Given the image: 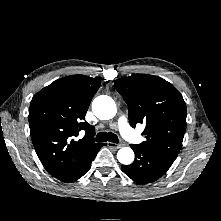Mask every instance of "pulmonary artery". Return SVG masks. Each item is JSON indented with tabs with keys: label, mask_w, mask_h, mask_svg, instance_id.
Masks as SVG:
<instances>
[{
	"label": "pulmonary artery",
	"mask_w": 221,
	"mask_h": 221,
	"mask_svg": "<svg viewBox=\"0 0 221 221\" xmlns=\"http://www.w3.org/2000/svg\"><path fill=\"white\" fill-rule=\"evenodd\" d=\"M117 128L120 131V133L123 135L124 138H126L132 142L138 141L137 137L132 132L130 125L128 124V120H127L126 116H121L118 119Z\"/></svg>",
	"instance_id": "1"
}]
</instances>
